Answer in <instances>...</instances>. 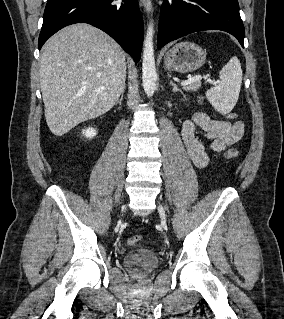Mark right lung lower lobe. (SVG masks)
I'll return each instance as SVG.
<instances>
[{
  "label": "right lung lower lobe",
  "instance_id": "right-lung-lower-lobe-1",
  "mask_svg": "<svg viewBox=\"0 0 284 319\" xmlns=\"http://www.w3.org/2000/svg\"><path fill=\"white\" fill-rule=\"evenodd\" d=\"M48 0L38 47L61 28L74 23L91 24L110 35L135 62L140 59L143 21L137 0Z\"/></svg>",
  "mask_w": 284,
  "mask_h": 319
}]
</instances>
